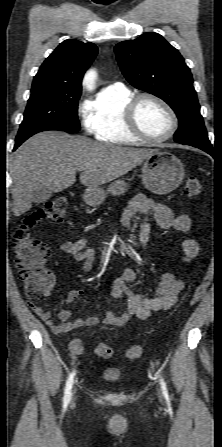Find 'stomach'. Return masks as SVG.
<instances>
[{
    "label": "stomach",
    "mask_w": 222,
    "mask_h": 447,
    "mask_svg": "<svg viewBox=\"0 0 222 447\" xmlns=\"http://www.w3.org/2000/svg\"><path fill=\"white\" fill-rule=\"evenodd\" d=\"M142 180L145 187L155 194H167L175 190L184 178V166L171 153L155 150L142 163ZM124 180L113 182L108 191L99 187H88L83 195L84 201L90 206H99L108 193L121 195L126 189Z\"/></svg>",
    "instance_id": "0dacf381"
}]
</instances>
